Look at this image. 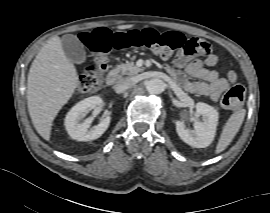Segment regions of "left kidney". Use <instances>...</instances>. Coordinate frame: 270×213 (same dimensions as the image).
Wrapping results in <instances>:
<instances>
[{"label":"left kidney","mask_w":270,"mask_h":213,"mask_svg":"<svg viewBox=\"0 0 270 213\" xmlns=\"http://www.w3.org/2000/svg\"><path fill=\"white\" fill-rule=\"evenodd\" d=\"M196 115L202 116V121H194V130L186 128L183 121H176V132L180 139L195 148H205L214 140L219 114L210 105L199 102L196 104Z\"/></svg>","instance_id":"1"}]
</instances>
